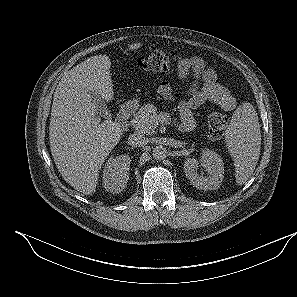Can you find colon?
Returning a JSON list of instances; mask_svg holds the SVG:
<instances>
[{
	"label": "colon",
	"instance_id": "1",
	"mask_svg": "<svg viewBox=\"0 0 297 297\" xmlns=\"http://www.w3.org/2000/svg\"><path fill=\"white\" fill-rule=\"evenodd\" d=\"M175 61V55L169 52L154 51L138 59V66L146 71L161 75H168L171 72ZM228 120L221 113H213L209 116L207 127L209 135L213 138H221L227 129Z\"/></svg>",
	"mask_w": 297,
	"mask_h": 297
}]
</instances>
